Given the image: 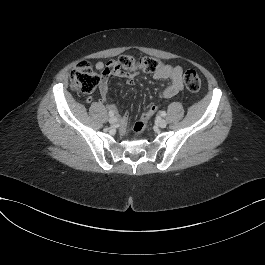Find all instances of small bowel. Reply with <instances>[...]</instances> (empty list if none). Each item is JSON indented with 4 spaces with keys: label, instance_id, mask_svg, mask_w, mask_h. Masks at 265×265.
<instances>
[{
    "label": "small bowel",
    "instance_id": "small-bowel-1",
    "mask_svg": "<svg viewBox=\"0 0 265 265\" xmlns=\"http://www.w3.org/2000/svg\"><path fill=\"white\" fill-rule=\"evenodd\" d=\"M96 68L101 71V78L99 82V92L101 95V102L107 103V97L109 94V78L110 75L124 78L126 83L133 85L136 81V74L124 73L117 61L110 60L108 62H97ZM183 70L178 65H164L160 70L154 73L153 77L157 80H168L169 85L163 90V96L165 98H172L179 94L183 90V80H182ZM93 101L92 97L87 98V102L91 103ZM110 111L115 112L119 118L120 126L124 127L129 121V115L119 114V110L116 105L112 103H107Z\"/></svg>",
    "mask_w": 265,
    "mask_h": 265
}]
</instances>
